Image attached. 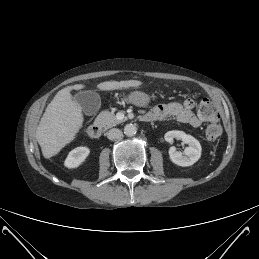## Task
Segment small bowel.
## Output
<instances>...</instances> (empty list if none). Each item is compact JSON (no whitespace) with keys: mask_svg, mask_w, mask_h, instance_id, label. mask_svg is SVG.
Here are the masks:
<instances>
[{"mask_svg":"<svg viewBox=\"0 0 259 259\" xmlns=\"http://www.w3.org/2000/svg\"><path fill=\"white\" fill-rule=\"evenodd\" d=\"M195 102L192 99H186L183 102H169L159 104L147 113L153 116L154 120H163L168 117H174L178 122L188 124L192 127H199L203 122L210 120L200 111L195 112Z\"/></svg>","mask_w":259,"mask_h":259,"instance_id":"small-bowel-1","label":"small bowel"}]
</instances>
